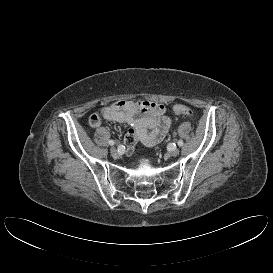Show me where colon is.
<instances>
[{
  "label": "colon",
  "mask_w": 273,
  "mask_h": 273,
  "mask_svg": "<svg viewBox=\"0 0 273 273\" xmlns=\"http://www.w3.org/2000/svg\"><path fill=\"white\" fill-rule=\"evenodd\" d=\"M173 112L176 115H179V116H182L185 118H193L194 117V111L190 107H188L186 105H182V104L175 105L173 108Z\"/></svg>",
  "instance_id": "obj_1"
}]
</instances>
